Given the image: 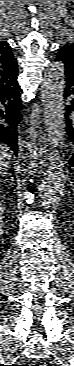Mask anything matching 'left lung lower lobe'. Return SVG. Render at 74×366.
I'll list each match as a JSON object with an SVG mask.
<instances>
[{"label":"left lung lower lobe","mask_w":74,"mask_h":366,"mask_svg":"<svg viewBox=\"0 0 74 366\" xmlns=\"http://www.w3.org/2000/svg\"><path fill=\"white\" fill-rule=\"evenodd\" d=\"M65 88L64 99H70L69 105H66V129L69 138L74 143V70L65 67ZM74 161V154L72 160Z\"/></svg>","instance_id":"left-lung-lower-lobe-1"}]
</instances>
